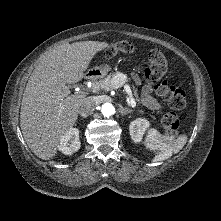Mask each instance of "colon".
Wrapping results in <instances>:
<instances>
[{"instance_id":"5ec220e1","label":"colon","mask_w":221,"mask_h":221,"mask_svg":"<svg viewBox=\"0 0 221 221\" xmlns=\"http://www.w3.org/2000/svg\"><path fill=\"white\" fill-rule=\"evenodd\" d=\"M134 46L130 41L123 40L110 44L105 50V57L112 59L118 54L133 52ZM149 65L144 70L145 79L154 84L155 92L163 97L171 109L181 110L186 106V96L183 90L169 85L164 79L167 70V59L159 49H151L147 53ZM165 132L175 135L178 132L179 120L175 113L169 112L161 119Z\"/></svg>"}]
</instances>
